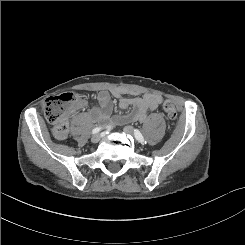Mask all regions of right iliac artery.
<instances>
[{
	"instance_id": "right-iliac-artery-1",
	"label": "right iliac artery",
	"mask_w": 245,
	"mask_h": 245,
	"mask_svg": "<svg viewBox=\"0 0 245 245\" xmlns=\"http://www.w3.org/2000/svg\"><path fill=\"white\" fill-rule=\"evenodd\" d=\"M102 128L101 127H96L92 130V134L98 133Z\"/></svg>"
}]
</instances>
